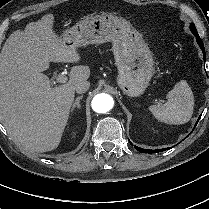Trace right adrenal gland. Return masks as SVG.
<instances>
[{
  "instance_id": "obj_1",
  "label": "right adrenal gland",
  "mask_w": 209,
  "mask_h": 209,
  "mask_svg": "<svg viewBox=\"0 0 209 209\" xmlns=\"http://www.w3.org/2000/svg\"><path fill=\"white\" fill-rule=\"evenodd\" d=\"M82 98H83V95H81L75 99V101L72 104V107L70 109L71 112H73L76 107H77V109H80V107H81L80 101L82 100Z\"/></svg>"
}]
</instances>
